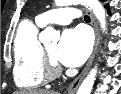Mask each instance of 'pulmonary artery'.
Returning a JSON list of instances; mask_svg holds the SVG:
<instances>
[{"instance_id": "1", "label": "pulmonary artery", "mask_w": 121, "mask_h": 94, "mask_svg": "<svg viewBox=\"0 0 121 94\" xmlns=\"http://www.w3.org/2000/svg\"><path fill=\"white\" fill-rule=\"evenodd\" d=\"M80 14L75 8L65 7L46 11L38 16V22L42 25L49 23H57L61 25H67L74 19H78Z\"/></svg>"}]
</instances>
